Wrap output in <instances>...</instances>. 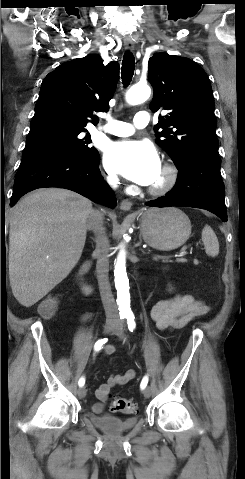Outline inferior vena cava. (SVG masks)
Listing matches in <instances>:
<instances>
[{"label": "inferior vena cava", "instance_id": "602c4592", "mask_svg": "<svg viewBox=\"0 0 245 479\" xmlns=\"http://www.w3.org/2000/svg\"><path fill=\"white\" fill-rule=\"evenodd\" d=\"M112 184L116 183V179H110ZM86 226L91 229L96 236L95 254L97 255L96 272L100 296L105 310L107 319H118V309L111 292L109 283V240L106 236L104 227V215L99 210H92Z\"/></svg>", "mask_w": 245, "mask_h": 479}]
</instances>
